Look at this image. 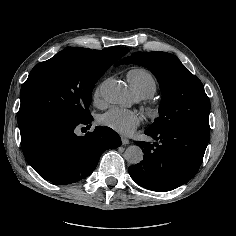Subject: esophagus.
Segmentation results:
<instances>
[{"label":"esophagus","mask_w":236,"mask_h":236,"mask_svg":"<svg viewBox=\"0 0 236 236\" xmlns=\"http://www.w3.org/2000/svg\"><path fill=\"white\" fill-rule=\"evenodd\" d=\"M121 141H122L123 145L129 144V139L126 138L125 136H121Z\"/></svg>","instance_id":"obj_1"}]
</instances>
